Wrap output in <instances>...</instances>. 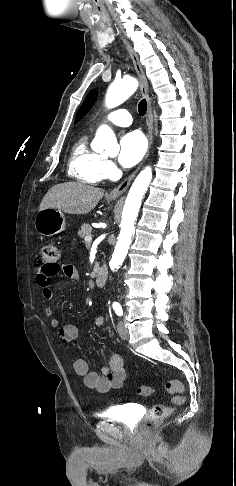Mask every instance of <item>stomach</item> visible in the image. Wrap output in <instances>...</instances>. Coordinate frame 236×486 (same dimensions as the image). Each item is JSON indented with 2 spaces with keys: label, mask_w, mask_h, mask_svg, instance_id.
<instances>
[{
  "label": "stomach",
  "mask_w": 236,
  "mask_h": 486,
  "mask_svg": "<svg viewBox=\"0 0 236 486\" xmlns=\"http://www.w3.org/2000/svg\"><path fill=\"white\" fill-rule=\"evenodd\" d=\"M65 217L62 211L57 209H43L35 216V230L44 236H52L62 232L65 229Z\"/></svg>",
  "instance_id": "obj_1"
}]
</instances>
